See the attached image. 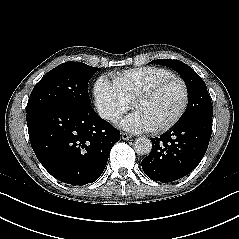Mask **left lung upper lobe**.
<instances>
[{"label": "left lung upper lobe", "mask_w": 239, "mask_h": 239, "mask_svg": "<svg viewBox=\"0 0 239 239\" xmlns=\"http://www.w3.org/2000/svg\"><path fill=\"white\" fill-rule=\"evenodd\" d=\"M158 62L175 69L185 81L188 90L187 109L178 124L192 121L199 117H212L213 107L205 82L188 65L178 60L159 59L151 63Z\"/></svg>", "instance_id": "5c2ea615"}]
</instances>
